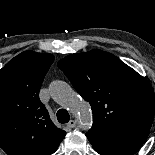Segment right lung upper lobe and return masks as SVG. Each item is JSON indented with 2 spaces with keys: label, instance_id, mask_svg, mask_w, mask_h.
Segmentation results:
<instances>
[{
  "label": "right lung upper lobe",
  "instance_id": "cb5924a9",
  "mask_svg": "<svg viewBox=\"0 0 155 155\" xmlns=\"http://www.w3.org/2000/svg\"><path fill=\"white\" fill-rule=\"evenodd\" d=\"M51 54L25 51L0 70V147L9 155H51L66 132L39 99Z\"/></svg>",
  "mask_w": 155,
  "mask_h": 155
}]
</instances>
